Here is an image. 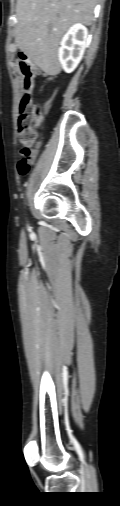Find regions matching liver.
Instances as JSON below:
<instances>
[{
  "instance_id": "liver-1",
  "label": "liver",
  "mask_w": 120,
  "mask_h": 506,
  "mask_svg": "<svg viewBox=\"0 0 120 506\" xmlns=\"http://www.w3.org/2000/svg\"><path fill=\"white\" fill-rule=\"evenodd\" d=\"M97 0H17L15 40L30 61L48 74L60 72L59 42L74 23L90 25Z\"/></svg>"
}]
</instances>
